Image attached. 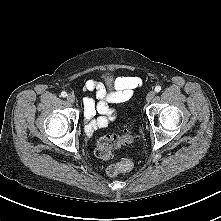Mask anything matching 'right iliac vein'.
<instances>
[{"instance_id": "right-iliac-vein-1", "label": "right iliac vein", "mask_w": 221, "mask_h": 221, "mask_svg": "<svg viewBox=\"0 0 221 221\" xmlns=\"http://www.w3.org/2000/svg\"><path fill=\"white\" fill-rule=\"evenodd\" d=\"M67 101H68L69 103H74V102H75V97H74L73 95L69 94V95L67 96Z\"/></svg>"}]
</instances>
